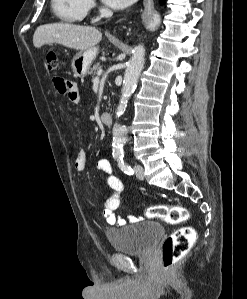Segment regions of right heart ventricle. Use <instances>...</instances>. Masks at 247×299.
<instances>
[{"label": "right heart ventricle", "instance_id": "obj_1", "mask_svg": "<svg viewBox=\"0 0 247 299\" xmlns=\"http://www.w3.org/2000/svg\"><path fill=\"white\" fill-rule=\"evenodd\" d=\"M89 7V0H51L53 14L60 22L67 24L83 21Z\"/></svg>", "mask_w": 247, "mask_h": 299}]
</instances>
